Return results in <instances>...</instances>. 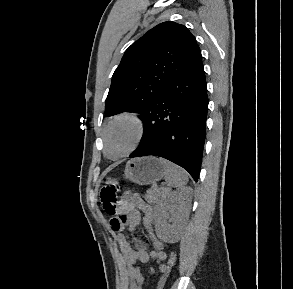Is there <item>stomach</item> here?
<instances>
[{"label":"stomach","instance_id":"1","mask_svg":"<svg viewBox=\"0 0 293 289\" xmlns=\"http://www.w3.org/2000/svg\"><path fill=\"white\" fill-rule=\"evenodd\" d=\"M164 176L160 160L155 157H141L129 160L125 167V177L139 185L153 184Z\"/></svg>","mask_w":293,"mask_h":289}]
</instances>
